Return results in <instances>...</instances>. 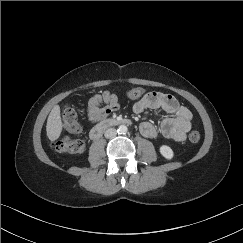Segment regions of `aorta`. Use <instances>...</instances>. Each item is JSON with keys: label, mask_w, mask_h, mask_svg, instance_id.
<instances>
[{"label": "aorta", "mask_w": 243, "mask_h": 243, "mask_svg": "<svg viewBox=\"0 0 243 243\" xmlns=\"http://www.w3.org/2000/svg\"><path fill=\"white\" fill-rule=\"evenodd\" d=\"M128 131L127 126L126 125H120L117 129V132L119 134H125Z\"/></svg>", "instance_id": "762f6f07"}]
</instances>
